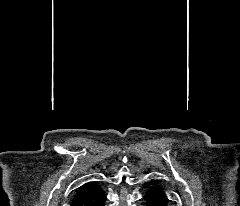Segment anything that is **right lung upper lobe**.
Here are the masks:
<instances>
[{"label":"right lung upper lobe","instance_id":"right-lung-upper-lobe-1","mask_svg":"<svg viewBox=\"0 0 240 206\" xmlns=\"http://www.w3.org/2000/svg\"><path fill=\"white\" fill-rule=\"evenodd\" d=\"M98 185L96 184V182H88L85 183L84 185H82L79 190L77 191L74 199L86 196L87 194H89L90 192H92L94 189H96Z\"/></svg>","mask_w":240,"mask_h":206}]
</instances>
